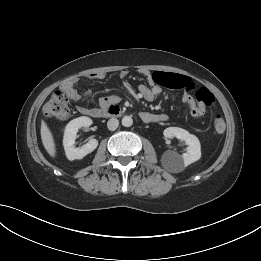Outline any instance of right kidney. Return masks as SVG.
<instances>
[{
    "mask_svg": "<svg viewBox=\"0 0 261 261\" xmlns=\"http://www.w3.org/2000/svg\"><path fill=\"white\" fill-rule=\"evenodd\" d=\"M91 124L92 120L89 117L81 116L73 119L66 125L63 145L69 160L82 159L97 148L98 141L96 139H90L87 144L80 148H75L74 145L78 130L81 127H89Z\"/></svg>",
    "mask_w": 261,
    "mask_h": 261,
    "instance_id": "1",
    "label": "right kidney"
}]
</instances>
